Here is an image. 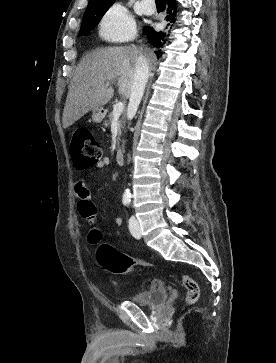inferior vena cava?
<instances>
[{
	"mask_svg": "<svg viewBox=\"0 0 276 363\" xmlns=\"http://www.w3.org/2000/svg\"><path fill=\"white\" fill-rule=\"evenodd\" d=\"M148 77L149 63L144 56L140 55L136 60L134 79L127 109V115L130 118H132L136 114V111L144 94Z\"/></svg>",
	"mask_w": 276,
	"mask_h": 363,
	"instance_id": "obj_1",
	"label": "inferior vena cava"
}]
</instances>
